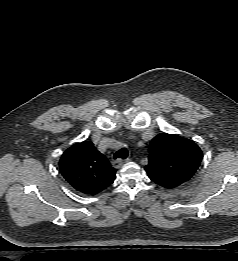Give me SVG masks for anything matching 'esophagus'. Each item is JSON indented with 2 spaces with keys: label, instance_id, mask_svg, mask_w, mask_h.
I'll return each mask as SVG.
<instances>
[{
  "label": "esophagus",
  "instance_id": "obj_1",
  "mask_svg": "<svg viewBox=\"0 0 238 261\" xmlns=\"http://www.w3.org/2000/svg\"><path fill=\"white\" fill-rule=\"evenodd\" d=\"M129 160H130L129 158H127L126 160L119 158V159L113 161L112 165L114 168H120L124 164V162L129 161Z\"/></svg>",
  "mask_w": 238,
  "mask_h": 261
}]
</instances>
